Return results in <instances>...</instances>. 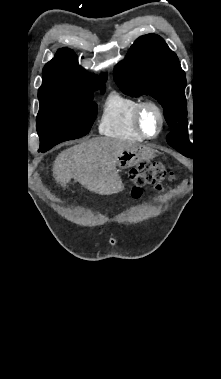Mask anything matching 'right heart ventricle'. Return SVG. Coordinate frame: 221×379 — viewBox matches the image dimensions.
Masks as SVG:
<instances>
[{
    "instance_id": "right-heart-ventricle-1",
    "label": "right heart ventricle",
    "mask_w": 221,
    "mask_h": 379,
    "mask_svg": "<svg viewBox=\"0 0 221 379\" xmlns=\"http://www.w3.org/2000/svg\"><path fill=\"white\" fill-rule=\"evenodd\" d=\"M141 100L118 92L111 93L104 104L99 122L103 135L133 141L144 138L134 124V113Z\"/></svg>"
}]
</instances>
